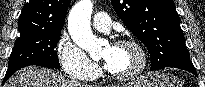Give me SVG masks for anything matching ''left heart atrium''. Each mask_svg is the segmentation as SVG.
Segmentation results:
<instances>
[{
  "instance_id": "obj_1",
  "label": "left heart atrium",
  "mask_w": 205,
  "mask_h": 87,
  "mask_svg": "<svg viewBox=\"0 0 205 87\" xmlns=\"http://www.w3.org/2000/svg\"><path fill=\"white\" fill-rule=\"evenodd\" d=\"M105 66H106V68H107V63H105Z\"/></svg>"
}]
</instances>
